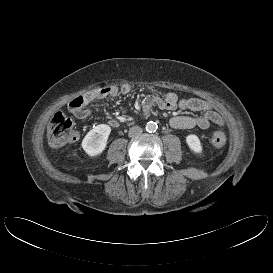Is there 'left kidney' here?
Segmentation results:
<instances>
[{
  "label": "left kidney",
  "instance_id": "5707ae66",
  "mask_svg": "<svg viewBox=\"0 0 273 273\" xmlns=\"http://www.w3.org/2000/svg\"><path fill=\"white\" fill-rule=\"evenodd\" d=\"M186 143L189 148L195 153H201L203 148L199 138L195 134H190L186 136Z\"/></svg>",
  "mask_w": 273,
  "mask_h": 273
}]
</instances>
